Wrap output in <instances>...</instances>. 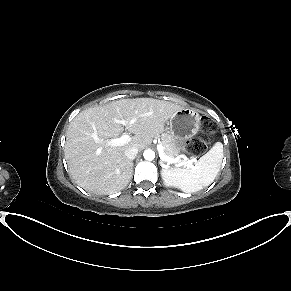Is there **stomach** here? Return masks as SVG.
<instances>
[{
    "instance_id": "1",
    "label": "stomach",
    "mask_w": 291,
    "mask_h": 291,
    "mask_svg": "<svg viewBox=\"0 0 291 291\" xmlns=\"http://www.w3.org/2000/svg\"><path fill=\"white\" fill-rule=\"evenodd\" d=\"M201 116L194 109H182L170 118V137L175 156L185 151V141L192 138L200 128Z\"/></svg>"
}]
</instances>
